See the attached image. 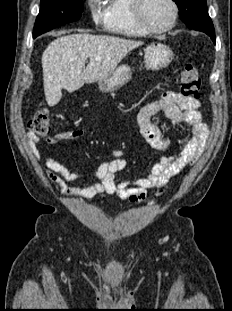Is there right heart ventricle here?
<instances>
[{
  "instance_id": "right-heart-ventricle-1",
  "label": "right heart ventricle",
  "mask_w": 232,
  "mask_h": 311,
  "mask_svg": "<svg viewBox=\"0 0 232 311\" xmlns=\"http://www.w3.org/2000/svg\"><path fill=\"white\" fill-rule=\"evenodd\" d=\"M131 3V0L108 1L104 13V26L108 31L126 37L146 35L133 18Z\"/></svg>"
}]
</instances>
